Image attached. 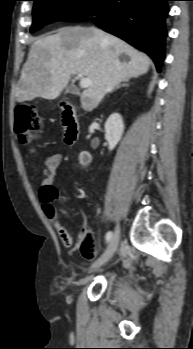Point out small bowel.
Wrapping results in <instances>:
<instances>
[{
    "label": "small bowel",
    "instance_id": "small-bowel-1",
    "mask_svg": "<svg viewBox=\"0 0 193 349\" xmlns=\"http://www.w3.org/2000/svg\"><path fill=\"white\" fill-rule=\"evenodd\" d=\"M62 162L60 154H53L45 159L42 167V181L39 189V196L41 201L48 205L58 198L57 189L53 186V178L56 170ZM55 229L58 232L62 244L69 248L73 244V239L70 233L56 220H52ZM72 252H80L85 259H93L96 256V250L93 245V240L90 232L85 227L81 233L80 239Z\"/></svg>",
    "mask_w": 193,
    "mask_h": 349
}]
</instances>
